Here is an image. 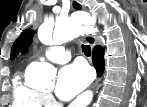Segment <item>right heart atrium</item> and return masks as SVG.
I'll list each match as a JSON object with an SVG mask.
<instances>
[{"label": "right heart atrium", "instance_id": "d8ad5b80", "mask_svg": "<svg viewBox=\"0 0 147 107\" xmlns=\"http://www.w3.org/2000/svg\"><path fill=\"white\" fill-rule=\"evenodd\" d=\"M44 99H45L46 103H49L51 101V97L48 94L44 95Z\"/></svg>", "mask_w": 147, "mask_h": 107}]
</instances>
